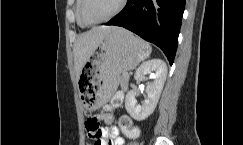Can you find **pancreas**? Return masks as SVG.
<instances>
[{"instance_id":"pancreas-1","label":"pancreas","mask_w":243,"mask_h":145,"mask_svg":"<svg viewBox=\"0 0 243 145\" xmlns=\"http://www.w3.org/2000/svg\"><path fill=\"white\" fill-rule=\"evenodd\" d=\"M129 77L125 73H123L119 79V83L122 88H124L128 84Z\"/></svg>"}]
</instances>
